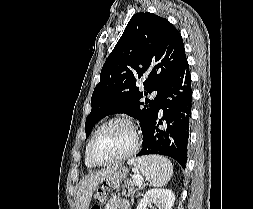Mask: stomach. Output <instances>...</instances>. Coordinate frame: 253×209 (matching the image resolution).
<instances>
[{
  "mask_svg": "<svg viewBox=\"0 0 253 209\" xmlns=\"http://www.w3.org/2000/svg\"><path fill=\"white\" fill-rule=\"evenodd\" d=\"M129 171H121V168H116L113 174L105 178L95 190L94 198L98 201L104 199L105 192H113V189L118 188V182H123L126 176H129Z\"/></svg>",
  "mask_w": 253,
  "mask_h": 209,
  "instance_id": "0dacf381",
  "label": "stomach"
}]
</instances>
